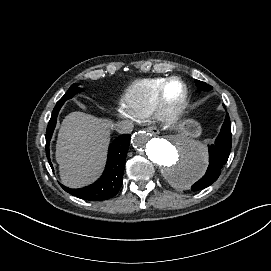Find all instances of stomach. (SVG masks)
<instances>
[{"mask_svg":"<svg viewBox=\"0 0 271 271\" xmlns=\"http://www.w3.org/2000/svg\"><path fill=\"white\" fill-rule=\"evenodd\" d=\"M178 129L192 137H198L201 134L202 128L200 124L193 119H185L178 124Z\"/></svg>","mask_w":271,"mask_h":271,"instance_id":"1","label":"stomach"}]
</instances>
